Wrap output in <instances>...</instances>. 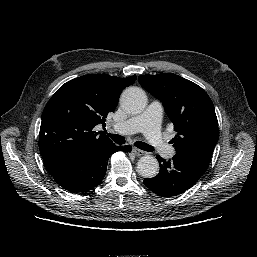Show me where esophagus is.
<instances>
[{
    "label": "esophagus",
    "instance_id": "obj_1",
    "mask_svg": "<svg viewBox=\"0 0 257 257\" xmlns=\"http://www.w3.org/2000/svg\"><path fill=\"white\" fill-rule=\"evenodd\" d=\"M132 152H133L136 156H142V155L145 154L144 151H142V150H140V149H138V148H135V147L132 148Z\"/></svg>",
    "mask_w": 257,
    "mask_h": 257
}]
</instances>
